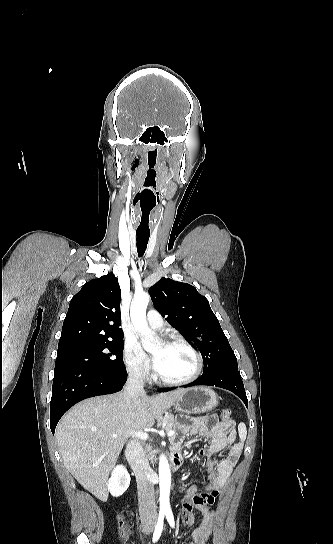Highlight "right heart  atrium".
Wrapping results in <instances>:
<instances>
[{
  "instance_id": "d8ad5b80",
  "label": "right heart atrium",
  "mask_w": 333,
  "mask_h": 544,
  "mask_svg": "<svg viewBox=\"0 0 333 544\" xmlns=\"http://www.w3.org/2000/svg\"><path fill=\"white\" fill-rule=\"evenodd\" d=\"M124 362L131 377L139 381L148 379L150 373L148 361L134 340H128L125 344Z\"/></svg>"
}]
</instances>
